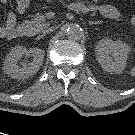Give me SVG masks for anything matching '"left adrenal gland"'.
Here are the masks:
<instances>
[{
  "label": "left adrenal gland",
  "mask_w": 135,
  "mask_h": 135,
  "mask_svg": "<svg viewBox=\"0 0 135 135\" xmlns=\"http://www.w3.org/2000/svg\"><path fill=\"white\" fill-rule=\"evenodd\" d=\"M97 24H101L100 21H89V25H97Z\"/></svg>",
  "instance_id": "1"
}]
</instances>
